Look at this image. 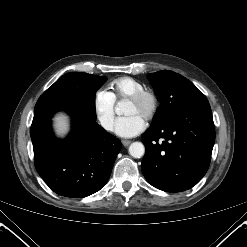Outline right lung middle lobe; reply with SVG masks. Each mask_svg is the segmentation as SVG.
Instances as JSON below:
<instances>
[{
    "mask_svg": "<svg viewBox=\"0 0 247 247\" xmlns=\"http://www.w3.org/2000/svg\"><path fill=\"white\" fill-rule=\"evenodd\" d=\"M106 79L103 76L71 72L61 76L44 94L60 93L95 97V92L102 86Z\"/></svg>",
    "mask_w": 247,
    "mask_h": 247,
    "instance_id": "1",
    "label": "right lung middle lobe"
}]
</instances>
